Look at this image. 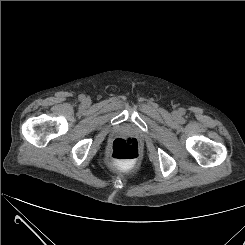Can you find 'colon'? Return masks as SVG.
Here are the masks:
<instances>
[{"mask_svg": "<svg viewBox=\"0 0 245 245\" xmlns=\"http://www.w3.org/2000/svg\"><path fill=\"white\" fill-rule=\"evenodd\" d=\"M109 153L117 162L131 164L139 158L140 146L135 138H119L111 143Z\"/></svg>", "mask_w": 245, "mask_h": 245, "instance_id": "5ec220e1", "label": "colon"}]
</instances>
